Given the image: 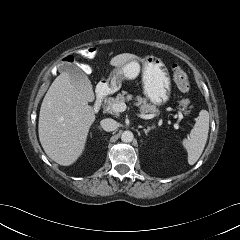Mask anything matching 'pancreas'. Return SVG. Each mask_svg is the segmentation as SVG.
Here are the masks:
<instances>
[{"label":"pancreas","instance_id":"pancreas-1","mask_svg":"<svg viewBox=\"0 0 240 240\" xmlns=\"http://www.w3.org/2000/svg\"><path fill=\"white\" fill-rule=\"evenodd\" d=\"M135 100L134 105L139 108L140 112L142 114H151L154 116H157L160 111L155 105L148 104L146 99L142 98L141 96H137L136 98L133 97L132 94H128L126 91H122V93H119L116 98L114 97H108L104 101L105 108L108 112L117 115L118 112L113 110V105L118 104L121 102H129L131 100ZM189 101L186 99H183L181 101V104L186 107L188 105Z\"/></svg>","mask_w":240,"mask_h":240}]
</instances>
